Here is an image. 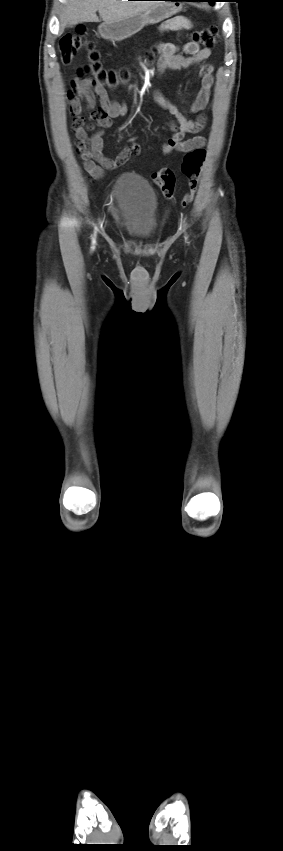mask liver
Returning <instances> with one entry per match:
<instances>
[{
	"label": "liver",
	"mask_w": 283,
	"mask_h": 851,
	"mask_svg": "<svg viewBox=\"0 0 283 851\" xmlns=\"http://www.w3.org/2000/svg\"><path fill=\"white\" fill-rule=\"evenodd\" d=\"M160 2L128 0H68L59 16L61 27L67 24L98 22L99 12L104 22H117L143 13Z\"/></svg>",
	"instance_id": "6515ba94"
}]
</instances>
